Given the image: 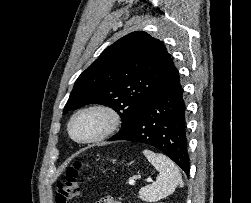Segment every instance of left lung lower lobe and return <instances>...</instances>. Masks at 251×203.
Listing matches in <instances>:
<instances>
[{
	"label": "left lung lower lobe",
	"mask_w": 251,
	"mask_h": 203,
	"mask_svg": "<svg viewBox=\"0 0 251 203\" xmlns=\"http://www.w3.org/2000/svg\"><path fill=\"white\" fill-rule=\"evenodd\" d=\"M110 140H127L154 146L189 175L186 104L179 72L173 61L131 125Z\"/></svg>",
	"instance_id": "left-lung-lower-lobe-1"
}]
</instances>
